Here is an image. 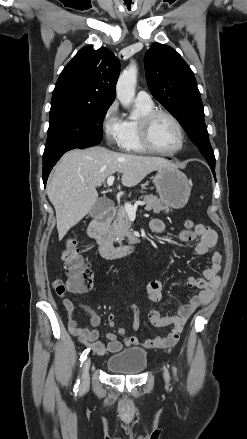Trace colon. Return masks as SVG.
<instances>
[{"label": "colon", "mask_w": 247, "mask_h": 439, "mask_svg": "<svg viewBox=\"0 0 247 439\" xmlns=\"http://www.w3.org/2000/svg\"><path fill=\"white\" fill-rule=\"evenodd\" d=\"M185 227L191 229L194 223L191 220L185 221ZM78 240L75 237L70 238L62 252V259L67 276L70 280V289L73 292L83 293L92 288L93 274L84 264L79 252Z\"/></svg>", "instance_id": "1"}]
</instances>
